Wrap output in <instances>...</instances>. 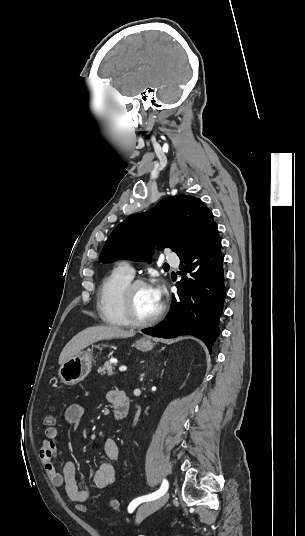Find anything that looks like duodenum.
<instances>
[{"instance_id": "1", "label": "duodenum", "mask_w": 305, "mask_h": 536, "mask_svg": "<svg viewBox=\"0 0 305 536\" xmlns=\"http://www.w3.org/2000/svg\"><path fill=\"white\" fill-rule=\"evenodd\" d=\"M112 403L117 418L121 419L127 416L129 412V399L124 391H115Z\"/></svg>"}]
</instances>
